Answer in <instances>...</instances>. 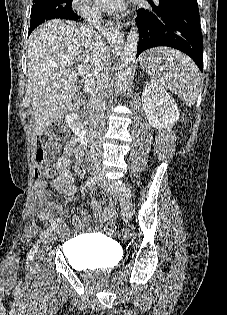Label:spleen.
Wrapping results in <instances>:
<instances>
[{
  "mask_svg": "<svg viewBox=\"0 0 227 315\" xmlns=\"http://www.w3.org/2000/svg\"><path fill=\"white\" fill-rule=\"evenodd\" d=\"M141 67L153 79L175 92L188 105L199 94V70L189 57L165 47L150 49L141 56Z\"/></svg>",
  "mask_w": 227,
  "mask_h": 315,
  "instance_id": "obj_1",
  "label": "spleen"
}]
</instances>
